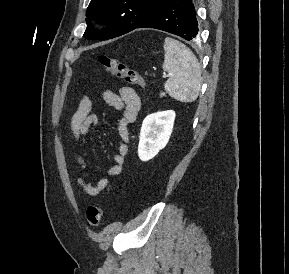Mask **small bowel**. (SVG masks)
<instances>
[{"label":"small bowel","mask_w":289,"mask_h":274,"mask_svg":"<svg viewBox=\"0 0 289 274\" xmlns=\"http://www.w3.org/2000/svg\"><path fill=\"white\" fill-rule=\"evenodd\" d=\"M104 101L122 114L118 123V135L121 140L117 152L113 155V164L106 169L109 176L122 174L125 157L128 154V142L130 137L129 125L135 121L141 109V100L136 91L123 86L118 93L106 89L102 93ZM91 99L83 95L79 101L76 111L70 120V128L76 142L83 146L87 142V135L91 128L99 125V117L91 113ZM79 174L76 176V183L80 190L88 196L100 195L110 185L107 178H102L91 183L85 175L81 174L87 168V161L83 154L76 155Z\"/></svg>","instance_id":"1"}]
</instances>
